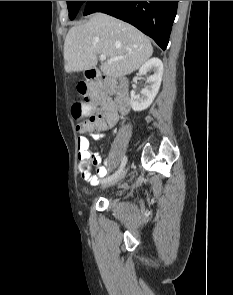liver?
Here are the masks:
<instances>
[{"instance_id":"obj_1","label":"liver","mask_w":233,"mask_h":295,"mask_svg":"<svg viewBox=\"0 0 233 295\" xmlns=\"http://www.w3.org/2000/svg\"><path fill=\"white\" fill-rule=\"evenodd\" d=\"M108 59L100 69L112 78L138 70L153 54L147 36L134 26L104 13H94L89 20L70 28L64 42V68L67 73L94 68L98 55Z\"/></svg>"}]
</instances>
